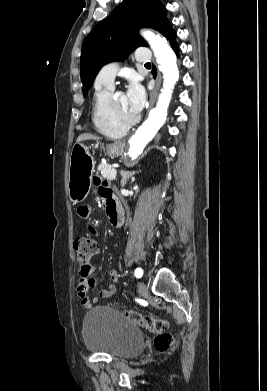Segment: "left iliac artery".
<instances>
[{
  "instance_id": "left-iliac-artery-1",
  "label": "left iliac artery",
  "mask_w": 267,
  "mask_h": 391,
  "mask_svg": "<svg viewBox=\"0 0 267 391\" xmlns=\"http://www.w3.org/2000/svg\"><path fill=\"white\" fill-rule=\"evenodd\" d=\"M142 275H143V270H142L141 268H137V269L135 270V276H136L137 278H141Z\"/></svg>"
}]
</instances>
